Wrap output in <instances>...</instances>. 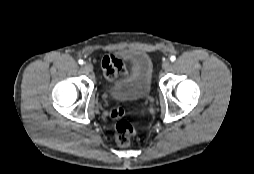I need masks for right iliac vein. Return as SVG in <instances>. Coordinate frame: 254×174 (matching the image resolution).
<instances>
[{
	"label": "right iliac vein",
	"mask_w": 254,
	"mask_h": 174,
	"mask_svg": "<svg viewBox=\"0 0 254 174\" xmlns=\"http://www.w3.org/2000/svg\"><path fill=\"white\" fill-rule=\"evenodd\" d=\"M83 69H84L85 72H92L93 71V66L89 62H85L83 64Z\"/></svg>",
	"instance_id": "right-iliac-vein-1"
}]
</instances>
